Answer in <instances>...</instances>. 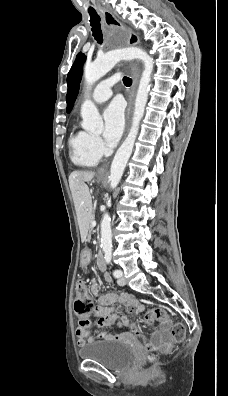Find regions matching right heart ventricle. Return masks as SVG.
<instances>
[{
    "label": "right heart ventricle",
    "instance_id": "obj_1",
    "mask_svg": "<svg viewBox=\"0 0 228 396\" xmlns=\"http://www.w3.org/2000/svg\"><path fill=\"white\" fill-rule=\"evenodd\" d=\"M92 135L83 130H76L69 139L72 161L82 167H94L101 155L92 147Z\"/></svg>",
    "mask_w": 228,
    "mask_h": 396
}]
</instances>
